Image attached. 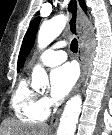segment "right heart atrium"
<instances>
[{
    "label": "right heart atrium",
    "instance_id": "obj_1",
    "mask_svg": "<svg viewBox=\"0 0 112 135\" xmlns=\"http://www.w3.org/2000/svg\"><path fill=\"white\" fill-rule=\"evenodd\" d=\"M42 101L47 108L51 105V101L47 97H43Z\"/></svg>",
    "mask_w": 112,
    "mask_h": 135
}]
</instances>
